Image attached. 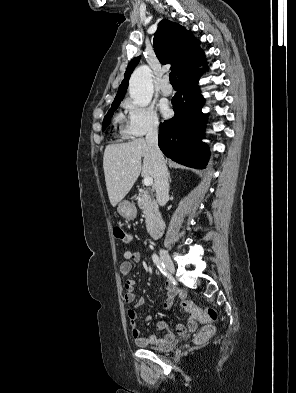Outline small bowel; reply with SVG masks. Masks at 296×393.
Listing matches in <instances>:
<instances>
[{
    "label": "small bowel",
    "mask_w": 296,
    "mask_h": 393,
    "mask_svg": "<svg viewBox=\"0 0 296 393\" xmlns=\"http://www.w3.org/2000/svg\"><path fill=\"white\" fill-rule=\"evenodd\" d=\"M123 260L119 264V271L122 275L127 276L131 270L134 262H138L141 259L140 252H132L126 251L123 255ZM135 286L136 282L133 279L126 280L124 284L125 294L123 300L126 304H135V307H139L145 303V298H139L136 300L135 295ZM166 296L164 302V310L168 311L171 307L173 300L177 297L180 301L186 300V294L183 290L175 287L169 282L165 283ZM127 316L129 319V323L131 326L132 336L135 339V342L139 346H148V345H156V346H164L171 341H174V334L171 332H166L163 337H158L155 334H151L149 336H142L141 331L137 327L138 314L135 309H129L127 311ZM151 317H147L146 320H150ZM198 327V320L193 317H189L187 325L179 324L176 326V333L178 335H184L189 332H194ZM158 328L160 330H166L167 325L165 322H159Z\"/></svg>",
    "instance_id": "obj_1"
}]
</instances>
